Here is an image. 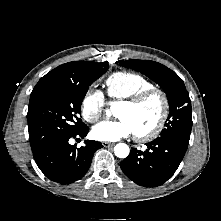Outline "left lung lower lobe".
Listing matches in <instances>:
<instances>
[{"label": "left lung lower lobe", "mask_w": 221, "mask_h": 221, "mask_svg": "<svg viewBox=\"0 0 221 221\" xmlns=\"http://www.w3.org/2000/svg\"><path fill=\"white\" fill-rule=\"evenodd\" d=\"M146 145L145 151L132 149L120 167L127 177L141 186H160L175 173L188 145L165 138H156Z\"/></svg>", "instance_id": "left-lung-lower-lobe-1"}]
</instances>
